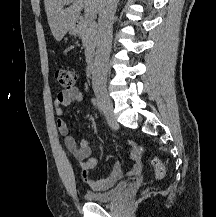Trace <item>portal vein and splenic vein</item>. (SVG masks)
I'll use <instances>...</instances> for the list:
<instances>
[{
	"label": "portal vein and splenic vein",
	"instance_id": "1",
	"mask_svg": "<svg viewBox=\"0 0 216 217\" xmlns=\"http://www.w3.org/2000/svg\"><path fill=\"white\" fill-rule=\"evenodd\" d=\"M70 2H71V0H69V3ZM85 18L88 21H92L94 19V13L90 12V11H87L86 14H85Z\"/></svg>",
	"mask_w": 216,
	"mask_h": 217
}]
</instances>
